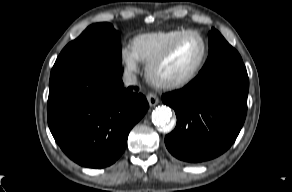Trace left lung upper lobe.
<instances>
[{"label": "left lung upper lobe", "mask_w": 292, "mask_h": 192, "mask_svg": "<svg viewBox=\"0 0 292 192\" xmlns=\"http://www.w3.org/2000/svg\"><path fill=\"white\" fill-rule=\"evenodd\" d=\"M209 56L198 75L228 68H245L239 53L214 28L208 34Z\"/></svg>", "instance_id": "obj_1"}]
</instances>
